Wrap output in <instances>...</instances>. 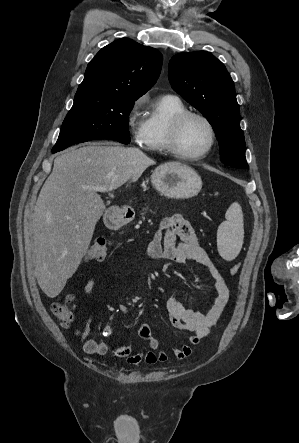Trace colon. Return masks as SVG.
<instances>
[{"label": "colon", "mask_w": 299, "mask_h": 443, "mask_svg": "<svg viewBox=\"0 0 299 443\" xmlns=\"http://www.w3.org/2000/svg\"><path fill=\"white\" fill-rule=\"evenodd\" d=\"M109 252V241L104 238H100L91 243L86 258L89 261H102L107 258ZM240 271V264L236 263L231 266L230 272L232 275L238 274ZM73 301V296L68 295L62 299L55 301L51 310L56 315L62 325L66 328L70 327V325L74 321V314L70 308V304Z\"/></svg>", "instance_id": "obj_1"}]
</instances>
